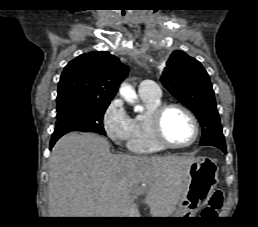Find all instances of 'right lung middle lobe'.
I'll use <instances>...</instances> for the list:
<instances>
[{
    "label": "right lung middle lobe",
    "mask_w": 258,
    "mask_h": 227,
    "mask_svg": "<svg viewBox=\"0 0 258 227\" xmlns=\"http://www.w3.org/2000/svg\"><path fill=\"white\" fill-rule=\"evenodd\" d=\"M110 102L76 96L57 98L55 130L96 132L105 135L103 116Z\"/></svg>",
    "instance_id": "1"
}]
</instances>
